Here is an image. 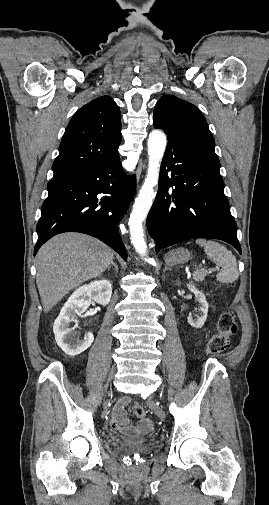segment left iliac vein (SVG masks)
<instances>
[{
    "mask_svg": "<svg viewBox=\"0 0 269 505\" xmlns=\"http://www.w3.org/2000/svg\"><path fill=\"white\" fill-rule=\"evenodd\" d=\"M146 407L149 408V410L151 412H156V414L158 415V417L161 419V420H165V412L163 411L162 408L158 407V405L156 403H154L153 401H148L146 402Z\"/></svg>",
    "mask_w": 269,
    "mask_h": 505,
    "instance_id": "left-iliac-vein-1",
    "label": "left iliac vein"
}]
</instances>
